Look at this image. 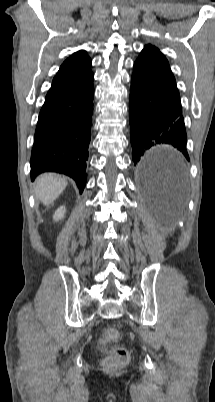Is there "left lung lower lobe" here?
Here are the masks:
<instances>
[{"instance_id":"left-lung-lower-lobe-1","label":"left lung lower lobe","mask_w":215,"mask_h":402,"mask_svg":"<svg viewBox=\"0 0 215 402\" xmlns=\"http://www.w3.org/2000/svg\"><path fill=\"white\" fill-rule=\"evenodd\" d=\"M130 138L134 165H140L143 177L159 191L161 203L171 208L178 192L161 184L159 175L139 163L147 150L157 145H171L189 160L187 135L180 95L169 66L138 57L131 78Z\"/></svg>"}]
</instances>
